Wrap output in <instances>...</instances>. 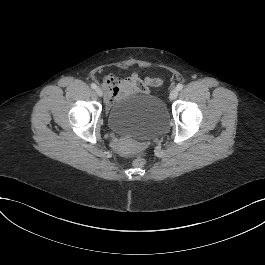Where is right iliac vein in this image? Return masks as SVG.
Instances as JSON below:
<instances>
[{"label":"right iliac vein","instance_id":"1","mask_svg":"<svg viewBox=\"0 0 265 265\" xmlns=\"http://www.w3.org/2000/svg\"><path fill=\"white\" fill-rule=\"evenodd\" d=\"M95 92H96V94H97L99 97H102V96H103V91H102L101 88H99V87L96 88Z\"/></svg>","mask_w":265,"mask_h":265}]
</instances>
